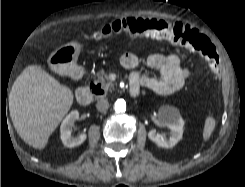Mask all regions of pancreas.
I'll use <instances>...</instances> for the list:
<instances>
[{
  "label": "pancreas",
  "instance_id": "cf45deb5",
  "mask_svg": "<svg viewBox=\"0 0 245 187\" xmlns=\"http://www.w3.org/2000/svg\"><path fill=\"white\" fill-rule=\"evenodd\" d=\"M95 82L99 83L105 92L112 91L114 89V84L109 80L108 75L104 72L97 74V79Z\"/></svg>",
  "mask_w": 245,
  "mask_h": 187
}]
</instances>
